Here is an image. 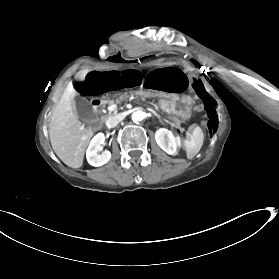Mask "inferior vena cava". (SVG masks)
I'll list each match as a JSON object with an SVG mask.
<instances>
[{
	"label": "inferior vena cava",
	"instance_id": "inferior-vena-cava-1",
	"mask_svg": "<svg viewBox=\"0 0 279 279\" xmlns=\"http://www.w3.org/2000/svg\"><path fill=\"white\" fill-rule=\"evenodd\" d=\"M120 120H122L121 114H115L114 117H110L107 120V122H106L107 127H110V128L115 127L119 123Z\"/></svg>",
	"mask_w": 279,
	"mask_h": 279
}]
</instances>
